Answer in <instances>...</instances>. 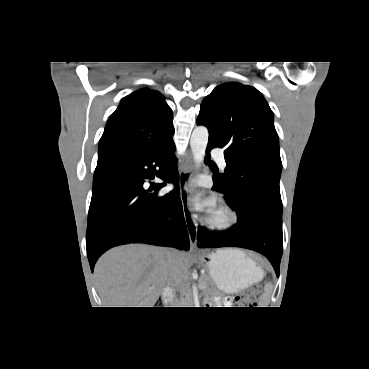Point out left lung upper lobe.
<instances>
[{"instance_id": "5c2ea615", "label": "left lung upper lobe", "mask_w": 369, "mask_h": 369, "mask_svg": "<svg viewBox=\"0 0 369 369\" xmlns=\"http://www.w3.org/2000/svg\"><path fill=\"white\" fill-rule=\"evenodd\" d=\"M198 125L209 130V141L224 148L225 174L216 176L227 187H256L280 197L282 162L273 113L254 87L222 83L204 98Z\"/></svg>"}]
</instances>
